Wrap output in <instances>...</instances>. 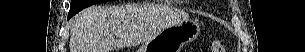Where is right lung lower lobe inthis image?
I'll list each match as a JSON object with an SVG mask.
<instances>
[{"mask_svg":"<svg viewBox=\"0 0 305 52\" xmlns=\"http://www.w3.org/2000/svg\"><path fill=\"white\" fill-rule=\"evenodd\" d=\"M73 15H75L74 13H72L71 11H69V14H68V19L71 18Z\"/></svg>","mask_w":305,"mask_h":52,"instance_id":"obj_1","label":"right lung lower lobe"}]
</instances>
